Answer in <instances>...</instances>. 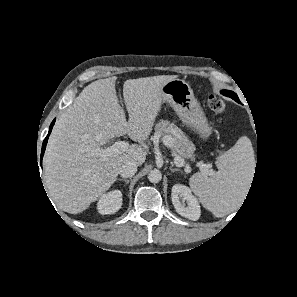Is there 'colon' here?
<instances>
[{"label":"colon","mask_w":297,"mask_h":297,"mask_svg":"<svg viewBox=\"0 0 297 297\" xmlns=\"http://www.w3.org/2000/svg\"><path fill=\"white\" fill-rule=\"evenodd\" d=\"M208 105L209 108L215 113L223 114L226 111L225 103L219 96L215 94L209 95Z\"/></svg>","instance_id":"1"}]
</instances>
